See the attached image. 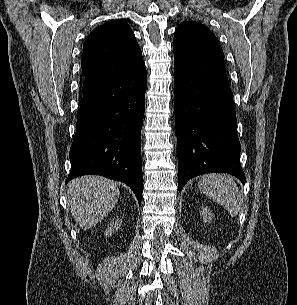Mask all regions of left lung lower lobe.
I'll return each instance as SVG.
<instances>
[{"label": "left lung lower lobe", "instance_id": "1", "mask_svg": "<svg viewBox=\"0 0 297 305\" xmlns=\"http://www.w3.org/2000/svg\"><path fill=\"white\" fill-rule=\"evenodd\" d=\"M174 106L179 191L191 178L211 172L229 173L245 183L226 73L193 74L175 63Z\"/></svg>", "mask_w": 297, "mask_h": 305}]
</instances>
